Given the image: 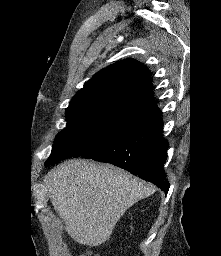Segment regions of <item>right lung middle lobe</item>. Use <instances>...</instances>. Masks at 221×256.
I'll return each mask as SVG.
<instances>
[{
    "label": "right lung middle lobe",
    "instance_id": "obj_1",
    "mask_svg": "<svg viewBox=\"0 0 221 256\" xmlns=\"http://www.w3.org/2000/svg\"><path fill=\"white\" fill-rule=\"evenodd\" d=\"M66 118L67 127L56 136L45 165L82 156L107 139L145 122L144 115L114 107L67 111Z\"/></svg>",
    "mask_w": 221,
    "mask_h": 256
}]
</instances>
